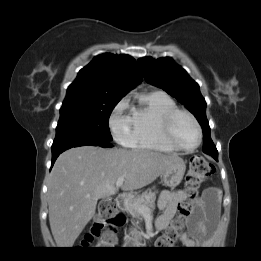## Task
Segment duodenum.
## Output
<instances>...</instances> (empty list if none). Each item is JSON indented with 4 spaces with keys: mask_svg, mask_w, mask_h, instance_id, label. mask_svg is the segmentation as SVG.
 <instances>
[{
    "mask_svg": "<svg viewBox=\"0 0 261 261\" xmlns=\"http://www.w3.org/2000/svg\"><path fill=\"white\" fill-rule=\"evenodd\" d=\"M125 203H126V197L124 195H119L118 198L116 199V205L118 207V209L120 210V212H117L118 214H120L123 222L119 223V222H114L111 227H121L124 225L125 223V215L122 213L124 208H125Z\"/></svg>",
    "mask_w": 261,
    "mask_h": 261,
    "instance_id": "duodenum-1",
    "label": "duodenum"
}]
</instances>
